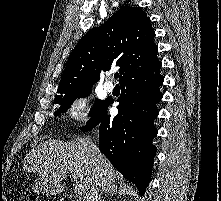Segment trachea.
<instances>
[{
    "mask_svg": "<svg viewBox=\"0 0 221 201\" xmlns=\"http://www.w3.org/2000/svg\"><path fill=\"white\" fill-rule=\"evenodd\" d=\"M119 77V74L118 73H115L114 74V78H118Z\"/></svg>",
    "mask_w": 221,
    "mask_h": 201,
    "instance_id": "1",
    "label": "trachea"
}]
</instances>
